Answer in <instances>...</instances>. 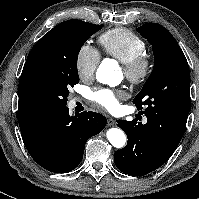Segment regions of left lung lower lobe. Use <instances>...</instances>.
I'll use <instances>...</instances> for the list:
<instances>
[{"mask_svg":"<svg viewBox=\"0 0 199 199\" xmlns=\"http://www.w3.org/2000/svg\"><path fill=\"white\" fill-rule=\"evenodd\" d=\"M145 114L146 124L117 120L128 143L114 153V161L125 174L142 176L161 167L182 139L189 111L159 105Z\"/></svg>","mask_w":199,"mask_h":199,"instance_id":"0a47b994","label":"left lung lower lobe"}]
</instances>
